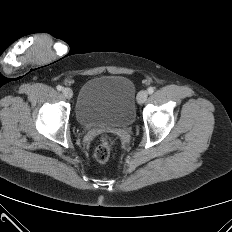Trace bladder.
I'll list each match as a JSON object with an SVG mask.
<instances>
[{
  "instance_id": "bladder-1",
  "label": "bladder",
  "mask_w": 232,
  "mask_h": 232,
  "mask_svg": "<svg viewBox=\"0 0 232 232\" xmlns=\"http://www.w3.org/2000/svg\"><path fill=\"white\" fill-rule=\"evenodd\" d=\"M135 87L124 76H97L81 87L75 106L76 119L84 127H128L136 115Z\"/></svg>"
}]
</instances>
